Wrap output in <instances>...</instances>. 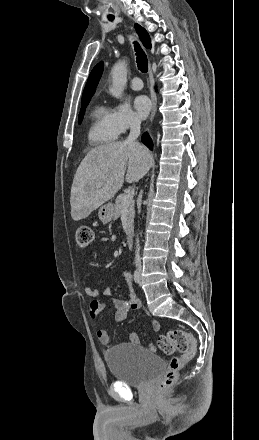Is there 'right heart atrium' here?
Returning a JSON list of instances; mask_svg holds the SVG:
<instances>
[{
  "label": "right heart atrium",
  "instance_id": "right-heart-atrium-1",
  "mask_svg": "<svg viewBox=\"0 0 259 440\" xmlns=\"http://www.w3.org/2000/svg\"><path fill=\"white\" fill-rule=\"evenodd\" d=\"M110 123L118 136L138 126L139 119L128 104L119 103L110 110Z\"/></svg>",
  "mask_w": 259,
  "mask_h": 440
}]
</instances>
